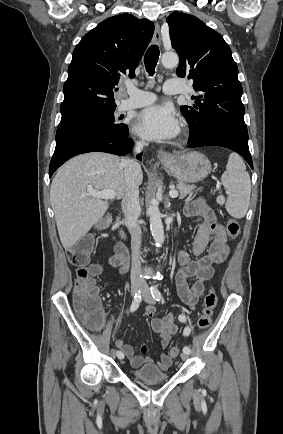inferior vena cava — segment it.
I'll return each instance as SVG.
<instances>
[{
    "label": "inferior vena cava",
    "instance_id": "1",
    "mask_svg": "<svg viewBox=\"0 0 283 434\" xmlns=\"http://www.w3.org/2000/svg\"><path fill=\"white\" fill-rule=\"evenodd\" d=\"M144 145V142H137L135 151H142ZM121 165L124 168V178L126 185L125 193L122 198V211L126 219L127 228L131 235V282L141 283V228L138 224V218L141 214V208L139 204V185L137 182V176L141 170V167L136 161L131 159H122Z\"/></svg>",
    "mask_w": 283,
    "mask_h": 434
}]
</instances>
